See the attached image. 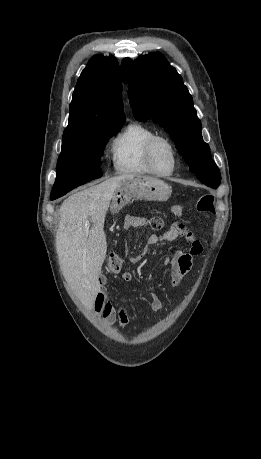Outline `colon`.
I'll return each mask as SVG.
<instances>
[{
  "instance_id": "5ec220e1",
  "label": "colon",
  "mask_w": 261,
  "mask_h": 459,
  "mask_svg": "<svg viewBox=\"0 0 261 459\" xmlns=\"http://www.w3.org/2000/svg\"><path fill=\"white\" fill-rule=\"evenodd\" d=\"M195 209L198 213L211 214L214 212V197L211 194L202 195L195 204ZM172 212L175 216L180 217L183 215V207L180 205H173ZM148 225L153 230H161L164 227V222L158 217H152L148 220ZM122 254L115 252L110 254L107 259V269L112 273H117L122 269Z\"/></svg>"
}]
</instances>
